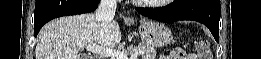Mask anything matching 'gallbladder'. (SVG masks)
Segmentation results:
<instances>
[{"label": "gallbladder", "instance_id": "bac80fb5", "mask_svg": "<svg viewBox=\"0 0 261 59\" xmlns=\"http://www.w3.org/2000/svg\"><path fill=\"white\" fill-rule=\"evenodd\" d=\"M81 59H86V57H85V56H82Z\"/></svg>", "mask_w": 261, "mask_h": 59}]
</instances>
